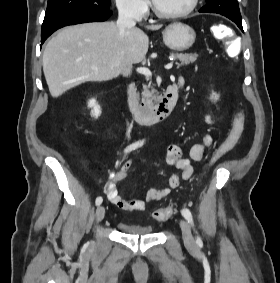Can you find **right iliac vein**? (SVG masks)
Masks as SVG:
<instances>
[{
	"mask_svg": "<svg viewBox=\"0 0 280 283\" xmlns=\"http://www.w3.org/2000/svg\"><path fill=\"white\" fill-rule=\"evenodd\" d=\"M105 216V208L103 206H98L96 210V220L98 222L102 221Z\"/></svg>",
	"mask_w": 280,
	"mask_h": 283,
	"instance_id": "obj_1",
	"label": "right iliac vein"
}]
</instances>
